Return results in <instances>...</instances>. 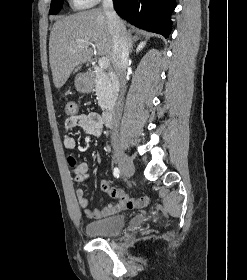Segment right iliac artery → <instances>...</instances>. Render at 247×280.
<instances>
[{"label":"right iliac artery","instance_id":"obj_1","mask_svg":"<svg viewBox=\"0 0 247 280\" xmlns=\"http://www.w3.org/2000/svg\"><path fill=\"white\" fill-rule=\"evenodd\" d=\"M113 175H114L116 178L119 177V175H120V170H119L117 167L114 168V170H113Z\"/></svg>","mask_w":247,"mask_h":280}]
</instances>
